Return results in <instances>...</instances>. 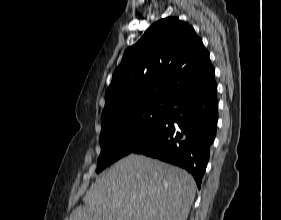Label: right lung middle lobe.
<instances>
[{
    "label": "right lung middle lobe",
    "mask_w": 281,
    "mask_h": 220,
    "mask_svg": "<svg viewBox=\"0 0 281 220\" xmlns=\"http://www.w3.org/2000/svg\"><path fill=\"white\" fill-rule=\"evenodd\" d=\"M166 116L167 109L145 110L123 116L102 127L97 172L150 140L159 131Z\"/></svg>",
    "instance_id": "dd1d6c3e"
}]
</instances>
